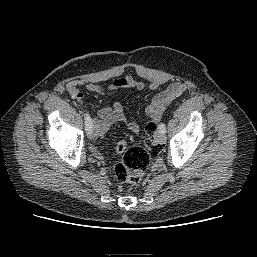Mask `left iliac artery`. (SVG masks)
Masks as SVG:
<instances>
[{
  "instance_id": "obj_1",
  "label": "left iliac artery",
  "mask_w": 257,
  "mask_h": 257,
  "mask_svg": "<svg viewBox=\"0 0 257 257\" xmlns=\"http://www.w3.org/2000/svg\"><path fill=\"white\" fill-rule=\"evenodd\" d=\"M159 130H160L161 132H163V133H166V126H165L164 123H161V124L159 125Z\"/></svg>"
}]
</instances>
